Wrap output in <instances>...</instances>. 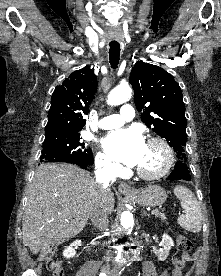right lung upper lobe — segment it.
Returning a JSON list of instances; mask_svg holds the SVG:
<instances>
[{
  "instance_id": "obj_1",
  "label": "right lung upper lobe",
  "mask_w": 221,
  "mask_h": 276,
  "mask_svg": "<svg viewBox=\"0 0 221 276\" xmlns=\"http://www.w3.org/2000/svg\"><path fill=\"white\" fill-rule=\"evenodd\" d=\"M96 91L97 77L89 66L73 72L52 94L45 135L79 132Z\"/></svg>"
}]
</instances>
